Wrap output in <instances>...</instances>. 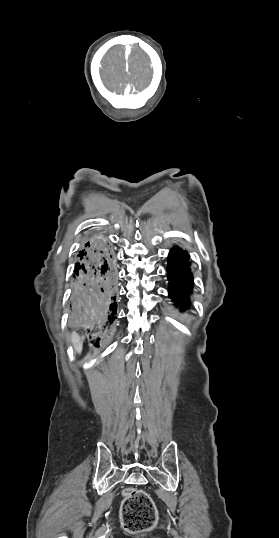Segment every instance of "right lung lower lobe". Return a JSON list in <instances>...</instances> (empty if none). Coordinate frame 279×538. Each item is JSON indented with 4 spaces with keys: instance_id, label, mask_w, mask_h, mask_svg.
Returning <instances> with one entry per match:
<instances>
[{
    "instance_id": "98d812e1",
    "label": "right lung lower lobe",
    "mask_w": 279,
    "mask_h": 538,
    "mask_svg": "<svg viewBox=\"0 0 279 538\" xmlns=\"http://www.w3.org/2000/svg\"><path fill=\"white\" fill-rule=\"evenodd\" d=\"M73 277L70 325L90 334L103 332L116 319L119 300L114 250L104 236L83 244Z\"/></svg>"
}]
</instances>
